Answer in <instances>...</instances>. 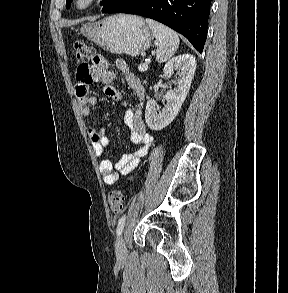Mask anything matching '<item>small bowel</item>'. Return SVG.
Listing matches in <instances>:
<instances>
[{"label":"small bowel","mask_w":288,"mask_h":293,"mask_svg":"<svg viewBox=\"0 0 288 293\" xmlns=\"http://www.w3.org/2000/svg\"><path fill=\"white\" fill-rule=\"evenodd\" d=\"M115 66L119 72L124 74L129 88L134 92L137 99L135 109H128L125 112L124 121L130 130L131 142L141 146L136 151L124 155L113 166L109 159H102L100 162V171L106 184H115L120 175H127L134 170L141 159L148 153L151 146L155 143L153 135L148 133L146 125L141 116L143 101L145 100L146 90L139 78L129 72L128 66L122 60H116ZM78 84L76 86V96L80 113L88 117L91 109L97 104V98L89 95L90 86L93 83L100 82L104 84V93L107 97L121 101V93L111 84L116 80V73L111 70L110 62L101 55H95L92 64L88 66L79 65L76 72ZM89 137L98 156L104 154L105 148L109 143L103 126L89 129Z\"/></svg>","instance_id":"c3829d8e"}]
</instances>
